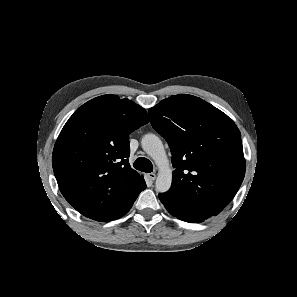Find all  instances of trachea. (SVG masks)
Instances as JSON below:
<instances>
[{"label":"trachea","mask_w":297,"mask_h":297,"mask_svg":"<svg viewBox=\"0 0 297 297\" xmlns=\"http://www.w3.org/2000/svg\"><path fill=\"white\" fill-rule=\"evenodd\" d=\"M133 166L135 169L142 172L150 173L153 171V165L151 161L145 157L137 158Z\"/></svg>","instance_id":"1"}]
</instances>
